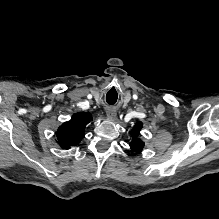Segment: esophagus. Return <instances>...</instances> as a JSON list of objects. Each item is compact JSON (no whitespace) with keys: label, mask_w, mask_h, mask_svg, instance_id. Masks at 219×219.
<instances>
[{"label":"esophagus","mask_w":219,"mask_h":219,"mask_svg":"<svg viewBox=\"0 0 219 219\" xmlns=\"http://www.w3.org/2000/svg\"><path fill=\"white\" fill-rule=\"evenodd\" d=\"M106 113L109 118H115L117 109L115 107H107Z\"/></svg>","instance_id":"obj_1"}]
</instances>
